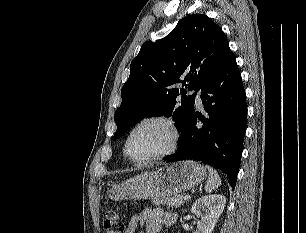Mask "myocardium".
<instances>
[{"instance_id": "f54148a6", "label": "myocardium", "mask_w": 306, "mask_h": 233, "mask_svg": "<svg viewBox=\"0 0 306 233\" xmlns=\"http://www.w3.org/2000/svg\"><path fill=\"white\" fill-rule=\"evenodd\" d=\"M152 122L164 123L169 128L170 133H171V143L169 147L162 152H159V153H156V154L144 157V158H133L130 155L129 150H128L129 141L132 135L137 129H139L143 125H146ZM179 141H180V130L178 128L176 121L172 117L167 116V115H154V116H150V117H147L141 120L130 130V132L128 133L126 137L125 143H124V154L132 162H135V163L148 162V161L160 159V158L173 154L178 148Z\"/></svg>"}]
</instances>
